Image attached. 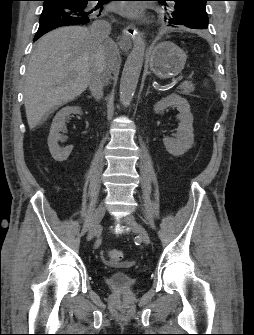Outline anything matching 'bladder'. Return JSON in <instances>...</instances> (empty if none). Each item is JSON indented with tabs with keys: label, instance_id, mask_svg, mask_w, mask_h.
Segmentation results:
<instances>
[{
	"label": "bladder",
	"instance_id": "31cf9c89",
	"mask_svg": "<svg viewBox=\"0 0 254 335\" xmlns=\"http://www.w3.org/2000/svg\"><path fill=\"white\" fill-rule=\"evenodd\" d=\"M106 283L114 290L126 291L132 287L134 277L129 271L117 270L108 275Z\"/></svg>",
	"mask_w": 254,
	"mask_h": 335
}]
</instances>
